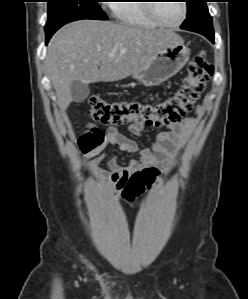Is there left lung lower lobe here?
Segmentation results:
<instances>
[{
	"label": "left lung lower lobe",
	"mask_w": 248,
	"mask_h": 299,
	"mask_svg": "<svg viewBox=\"0 0 248 299\" xmlns=\"http://www.w3.org/2000/svg\"><path fill=\"white\" fill-rule=\"evenodd\" d=\"M199 32H200V34L204 35L209 40H211L212 42H214V33H211V32H209L207 30H200Z\"/></svg>",
	"instance_id": "left-lung-lower-lobe-1"
}]
</instances>
